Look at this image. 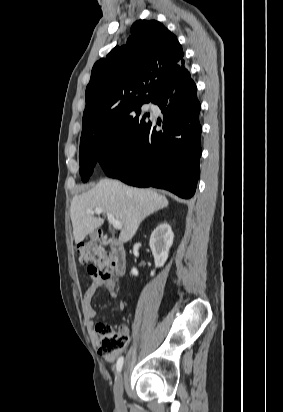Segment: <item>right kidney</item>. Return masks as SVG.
Wrapping results in <instances>:
<instances>
[{"instance_id":"right-kidney-1","label":"right kidney","mask_w":283,"mask_h":412,"mask_svg":"<svg viewBox=\"0 0 283 412\" xmlns=\"http://www.w3.org/2000/svg\"><path fill=\"white\" fill-rule=\"evenodd\" d=\"M174 234L169 224L162 223L152 232L150 237V248L154 256L155 267H162L168 259L170 247L173 244ZM135 276L138 275L136 268L131 270ZM155 271H151L153 276Z\"/></svg>"}]
</instances>
